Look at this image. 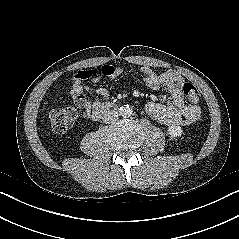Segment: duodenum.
I'll use <instances>...</instances> for the list:
<instances>
[{"instance_id": "1", "label": "duodenum", "mask_w": 239, "mask_h": 239, "mask_svg": "<svg viewBox=\"0 0 239 239\" xmlns=\"http://www.w3.org/2000/svg\"><path fill=\"white\" fill-rule=\"evenodd\" d=\"M109 108H110V104H105L99 108L94 109L91 112V119L95 120V121L100 119L103 115H105L107 113Z\"/></svg>"}]
</instances>
